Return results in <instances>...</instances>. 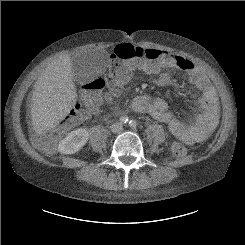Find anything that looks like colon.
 <instances>
[{
    "label": "colon",
    "instance_id": "1",
    "mask_svg": "<svg viewBox=\"0 0 245 245\" xmlns=\"http://www.w3.org/2000/svg\"><path fill=\"white\" fill-rule=\"evenodd\" d=\"M146 62L147 57L143 49L129 44L120 47L110 61L107 72L84 83L81 88V102L76 104L74 110L58 126L39 135L37 143L42 147H51L64 132L79 122L82 107L86 108L87 114H94L101 105V95L105 91L116 90L130 78L137 64ZM147 65L152 69L154 64L148 62ZM169 150L176 157H182L187 152L186 146L180 141H172Z\"/></svg>",
    "mask_w": 245,
    "mask_h": 245
}]
</instances>
